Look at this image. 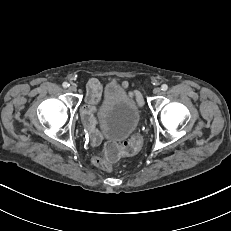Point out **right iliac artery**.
I'll use <instances>...</instances> for the list:
<instances>
[{"mask_svg":"<svg viewBox=\"0 0 231 231\" xmlns=\"http://www.w3.org/2000/svg\"><path fill=\"white\" fill-rule=\"evenodd\" d=\"M62 86H63L64 88H67V87L69 86V84H68L67 82H63Z\"/></svg>","mask_w":231,"mask_h":231,"instance_id":"right-iliac-artery-1","label":"right iliac artery"}]
</instances>
